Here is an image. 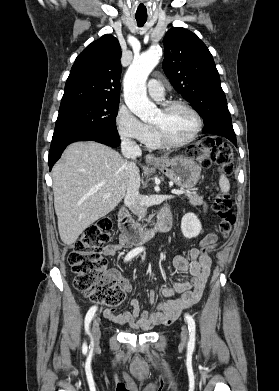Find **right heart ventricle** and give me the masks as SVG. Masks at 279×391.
I'll list each match as a JSON object with an SVG mask.
<instances>
[{"label":"right heart ventricle","instance_id":"1","mask_svg":"<svg viewBox=\"0 0 279 391\" xmlns=\"http://www.w3.org/2000/svg\"><path fill=\"white\" fill-rule=\"evenodd\" d=\"M146 144L151 148L161 147V144L159 143L153 129H151V133H150L148 140L146 141Z\"/></svg>","mask_w":279,"mask_h":391}]
</instances>
